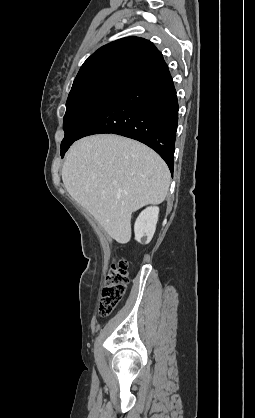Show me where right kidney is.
Masks as SVG:
<instances>
[{
  "mask_svg": "<svg viewBox=\"0 0 255 418\" xmlns=\"http://www.w3.org/2000/svg\"><path fill=\"white\" fill-rule=\"evenodd\" d=\"M159 208L148 207L143 210L134 225L135 239L142 244H148L156 230Z\"/></svg>",
  "mask_w": 255,
  "mask_h": 418,
  "instance_id": "right-kidney-1",
  "label": "right kidney"
}]
</instances>
